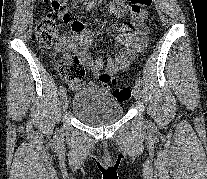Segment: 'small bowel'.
Returning <instances> with one entry per match:
<instances>
[{"instance_id": "1", "label": "small bowel", "mask_w": 207, "mask_h": 179, "mask_svg": "<svg viewBox=\"0 0 207 179\" xmlns=\"http://www.w3.org/2000/svg\"><path fill=\"white\" fill-rule=\"evenodd\" d=\"M127 0H112L109 5V12L116 17H122L127 12ZM56 16L59 19L67 22L69 20V12H58ZM75 35L73 39H63L58 48L60 50H66L68 48H74L79 51L83 64L90 69L95 77L101 79V70L104 66V59L102 56H92L88 51V47L92 44L93 34L92 31L81 22H75L72 25ZM120 34L116 37V43L118 49L114 56H109L106 61V72L109 76H114L120 70H125L133 57L134 54L140 53L144 49L143 43L135 42V34L130 32L127 25L117 27ZM123 46L124 48H121Z\"/></svg>"}]
</instances>
